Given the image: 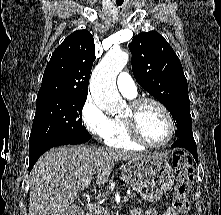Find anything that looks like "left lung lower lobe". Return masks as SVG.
<instances>
[{
    "mask_svg": "<svg viewBox=\"0 0 221 215\" xmlns=\"http://www.w3.org/2000/svg\"><path fill=\"white\" fill-rule=\"evenodd\" d=\"M172 147L185 148L193 155L196 161L198 160L196 143L193 138H180Z\"/></svg>",
    "mask_w": 221,
    "mask_h": 215,
    "instance_id": "0a47b994",
    "label": "left lung lower lobe"
}]
</instances>
